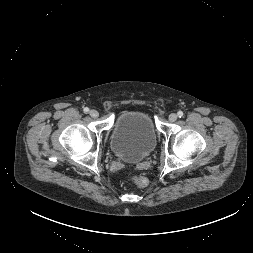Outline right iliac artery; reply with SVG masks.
<instances>
[{
	"mask_svg": "<svg viewBox=\"0 0 253 253\" xmlns=\"http://www.w3.org/2000/svg\"><path fill=\"white\" fill-rule=\"evenodd\" d=\"M83 111H84L85 113H87V112H89V108H88V107H85V108L83 109Z\"/></svg>",
	"mask_w": 253,
	"mask_h": 253,
	"instance_id": "82829eb1",
	"label": "right iliac artery"
}]
</instances>
